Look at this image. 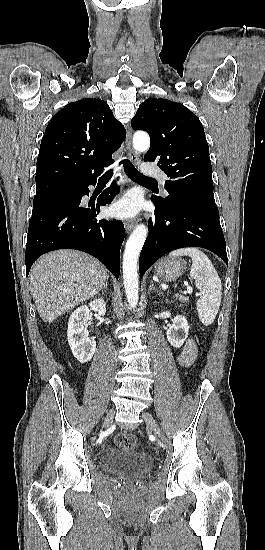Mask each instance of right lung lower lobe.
Instances as JSON below:
<instances>
[{"label":"right lung lower lobe","mask_w":265,"mask_h":550,"mask_svg":"<svg viewBox=\"0 0 265 550\" xmlns=\"http://www.w3.org/2000/svg\"><path fill=\"white\" fill-rule=\"evenodd\" d=\"M97 179L74 186L62 198L33 207L26 247V272L42 254L57 249H76L100 260L118 279L120 247L124 240V225L119 220H97L101 205L110 204L118 193L113 182L97 199L96 206L80 205L89 195V185Z\"/></svg>","instance_id":"1"}]
</instances>
